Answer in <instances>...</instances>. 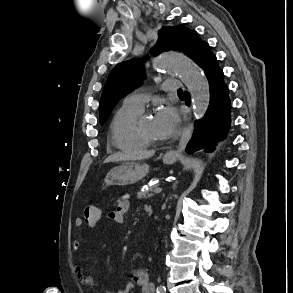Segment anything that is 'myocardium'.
Wrapping results in <instances>:
<instances>
[{
  "instance_id": "1",
  "label": "myocardium",
  "mask_w": 293,
  "mask_h": 293,
  "mask_svg": "<svg viewBox=\"0 0 293 293\" xmlns=\"http://www.w3.org/2000/svg\"><path fill=\"white\" fill-rule=\"evenodd\" d=\"M149 113L142 112L141 115L138 117L137 122H136V130L138 135L141 137V139L148 144V146H160L164 142L163 140H154L150 138L148 135L145 134L142 128V120L147 117Z\"/></svg>"
}]
</instances>
